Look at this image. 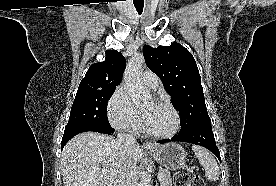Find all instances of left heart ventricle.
<instances>
[{
  "label": "left heart ventricle",
  "mask_w": 276,
  "mask_h": 186,
  "mask_svg": "<svg viewBox=\"0 0 276 186\" xmlns=\"http://www.w3.org/2000/svg\"><path fill=\"white\" fill-rule=\"evenodd\" d=\"M146 127L155 133H166L173 129L175 116L165 105L150 101L141 108Z\"/></svg>",
  "instance_id": "obj_1"
}]
</instances>
